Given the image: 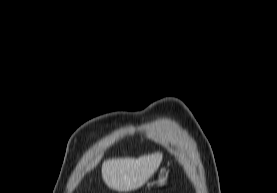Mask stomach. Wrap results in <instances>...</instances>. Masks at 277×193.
Listing matches in <instances>:
<instances>
[{"label": "stomach", "mask_w": 277, "mask_h": 193, "mask_svg": "<svg viewBox=\"0 0 277 193\" xmlns=\"http://www.w3.org/2000/svg\"><path fill=\"white\" fill-rule=\"evenodd\" d=\"M167 179H168V172H166L164 170L161 172V174L158 177V179L156 180L155 184H157L158 186H163L164 184H166Z\"/></svg>", "instance_id": "obj_1"}]
</instances>
